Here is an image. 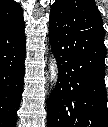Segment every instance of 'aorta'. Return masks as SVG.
Wrapping results in <instances>:
<instances>
[{
    "label": "aorta",
    "mask_w": 108,
    "mask_h": 127,
    "mask_svg": "<svg viewBox=\"0 0 108 127\" xmlns=\"http://www.w3.org/2000/svg\"><path fill=\"white\" fill-rule=\"evenodd\" d=\"M56 74H57V67H56L55 61L52 59L51 65H50L51 81L53 82L56 81Z\"/></svg>",
    "instance_id": "1"
}]
</instances>
